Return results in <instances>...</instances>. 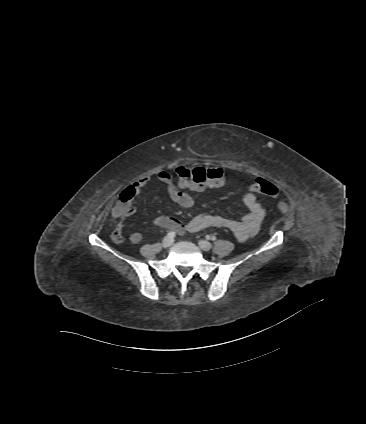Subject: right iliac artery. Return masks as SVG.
Returning <instances> with one entry per match:
<instances>
[{
    "instance_id": "right-iliac-artery-1",
    "label": "right iliac artery",
    "mask_w": 366,
    "mask_h": 424,
    "mask_svg": "<svg viewBox=\"0 0 366 424\" xmlns=\"http://www.w3.org/2000/svg\"><path fill=\"white\" fill-rule=\"evenodd\" d=\"M168 236L173 238L175 236V232L174 231H169L168 232Z\"/></svg>"
}]
</instances>
